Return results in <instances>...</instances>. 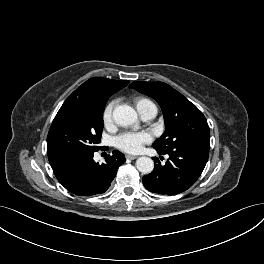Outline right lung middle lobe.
<instances>
[{
  "instance_id": "obj_1",
  "label": "right lung middle lobe",
  "mask_w": 264,
  "mask_h": 264,
  "mask_svg": "<svg viewBox=\"0 0 264 264\" xmlns=\"http://www.w3.org/2000/svg\"><path fill=\"white\" fill-rule=\"evenodd\" d=\"M106 102L66 99L47 137L48 159L73 151H98Z\"/></svg>"
}]
</instances>
